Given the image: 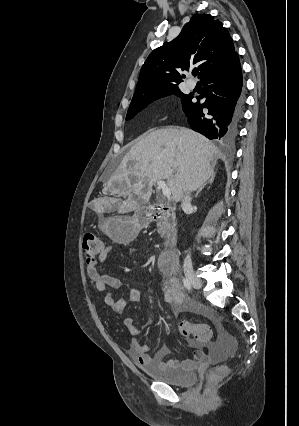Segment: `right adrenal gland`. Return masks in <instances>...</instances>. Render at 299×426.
<instances>
[{
	"label": "right adrenal gland",
	"instance_id": "obj_1",
	"mask_svg": "<svg viewBox=\"0 0 299 426\" xmlns=\"http://www.w3.org/2000/svg\"><path fill=\"white\" fill-rule=\"evenodd\" d=\"M213 181H214V176H212L207 182H206V184H212L213 183ZM205 184V185H206ZM205 185H203V186H201L198 190H197V192H196V194H195V198L198 196V194L203 190V188H204V186Z\"/></svg>",
	"mask_w": 299,
	"mask_h": 426
}]
</instances>
